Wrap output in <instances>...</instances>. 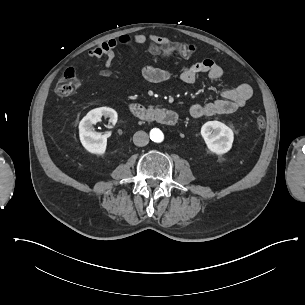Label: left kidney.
Returning a JSON list of instances; mask_svg holds the SVG:
<instances>
[{
    "instance_id": "obj_1",
    "label": "left kidney",
    "mask_w": 305,
    "mask_h": 305,
    "mask_svg": "<svg viewBox=\"0 0 305 305\" xmlns=\"http://www.w3.org/2000/svg\"><path fill=\"white\" fill-rule=\"evenodd\" d=\"M201 135L208 149L216 154H224L232 147L233 131L219 121L206 122L201 128Z\"/></svg>"
}]
</instances>
